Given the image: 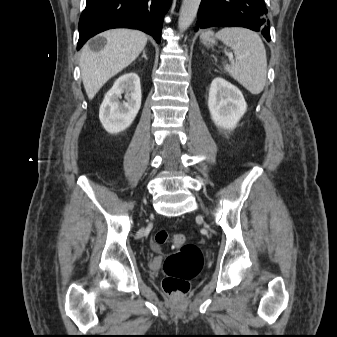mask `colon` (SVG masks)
<instances>
[{
    "mask_svg": "<svg viewBox=\"0 0 337 337\" xmlns=\"http://www.w3.org/2000/svg\"><path fill=\"white\" fill-rule=\"evenodd\" d=\"M166 243H171L178 249L164 261L163 289L169 295L185 294L190 281L199 274L203 266L202 252L198 246L185 243L182 234L158 231L154 236L155 246L160 247Z\"/></svg>",
    "mask_w": 337,
    "mask_h": 337,
    "instance_id": "obj_1",
    "label": "colon"
}]
</instances>
